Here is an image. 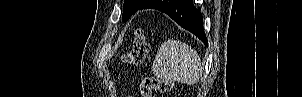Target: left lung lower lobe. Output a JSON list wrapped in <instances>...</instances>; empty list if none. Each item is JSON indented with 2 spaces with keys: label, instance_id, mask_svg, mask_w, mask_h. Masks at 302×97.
I'll return each instance as SVG.
<instances>
[{
  "label": "left lung lower lobe",
  "instance_id": "obj_1",
  "mask_svg": "<svg viewBox=\"0 0 302 97\" xmlns=\"http://www.w3.org/2000/svg\"><path fill=\"white\" fill-rule=\"evenodd\" d=\"M148 7L169 15L181 27L192 32L205 45H208L202 26V15L193 5V0H149Z\"/></svg>",
  "mask_w": 302,
  "mask_h": 97
}]
</instances>
